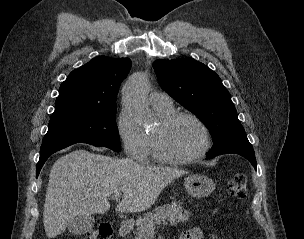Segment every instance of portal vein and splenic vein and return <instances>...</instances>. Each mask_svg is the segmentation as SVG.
Segmentation results:
<instances>
[{"mask_svg": "<svg viewBox=\"0 0 304 239\" xmlns=\"http://www.w3.org/2000/svg\"><path fill=\"white\" fill-rule=\"evenodd\" d=\"M122 194L121 193H115L112 195V199L116 200L117 202L120 201V198H121ZM149 230H154V228H150Z\"/></svg>", "mask_w": 304, "mask_h": 239, "instance_id": "18ae733b", "label": "portal vein and splenic vein"}]
</instances>
